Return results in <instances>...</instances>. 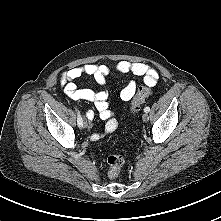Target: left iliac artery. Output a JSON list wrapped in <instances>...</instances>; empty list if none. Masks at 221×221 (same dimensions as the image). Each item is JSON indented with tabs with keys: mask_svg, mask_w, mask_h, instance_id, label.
I'll list each match as a JSON object with an SVG mask.
<instances>
[{
	"mask_svg": "<svg viewBox=\"0 0 221 221\" xmlns=\"http://www.w3.org/2000/svg\"><path fill=\"white\" fill-rule=\"evenodd\" d=\"M144 111L148 113L150 111V108L149 107H145Z\"/></svg>",
	"mask_w": 221,
	"mask_h": 221,
	"instance_id": "left-iliac-artery-1",
	"label": "left iliac artery"
}]
</instances>
